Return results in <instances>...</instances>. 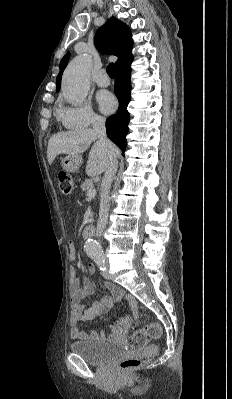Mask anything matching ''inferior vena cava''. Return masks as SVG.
<instances>
[{
    "instance_id": "inferior-vena-cava-1",
    "label": "inferior vena cava",
    "mask_w": 232,
    "mask_h": 399,
    "mask_svg": "<svg viewBox=\"0 0 232 399\" xmlns=\"http://www.w3.org/2000/svg\"><path fill=\"white\" fill-rule=\"evenodd\" d=\"M92 126L94 130V134L96 138H98V142L100 144H105V146H109L112 148V142L107 140L106 136V128H105V120L102 116H93L92 118ZM118 162L116 160V154L114 152H109L108 156V166L105 170V174L103 176L102 184H101V200H100V209H99V219L97 223L96 233L97 235H101L103 229L106 227L107 219H108V211H109V192L111 188V184L114 180V176L117 172Z\"/></svg>"
}]
</instances>
